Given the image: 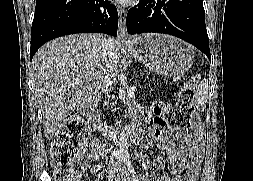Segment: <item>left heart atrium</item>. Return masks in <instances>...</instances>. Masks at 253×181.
I'll return each instance as SVG.
<instances>
[{
  "mask_svg": "<svg viewBox=\"0 0 253 181\" xmlns=\"http://www.w3.org/2000/svg\"><path fill=\"white\" fill-rule=\"evenodd\" d=\"M116 2L118 3H121V4H127L129 3L131 0H115Z\"/></svg>",
  "mask_w": 253,
  "mask_h": 181,
  "instance_id": "39dd6f15",
  "label": "left heart atrium"
}]
</instances>
